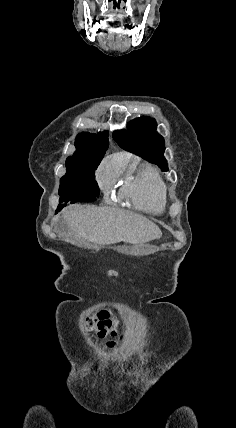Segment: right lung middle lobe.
<instances>
[{
	"instance_id": "obj_1",
	"label": "right lung middle lobe",
	"mask_w": 236,
	"mask_h": 428,
	"mask_svg": "<svg viewBox=\"0 0 236 428\" xmlns=\"http://www.w3.org/2000/svg\"><path fill=\"white\" fill-rule=\"evenodd\" d=\"M96 168L67 167L66 174L60 180L59 195L60 211L69 203L92 202L99 195V188L95 181Z\"/></svg>"
}]
</instances>
